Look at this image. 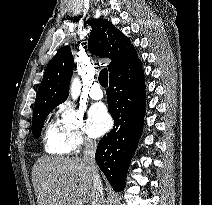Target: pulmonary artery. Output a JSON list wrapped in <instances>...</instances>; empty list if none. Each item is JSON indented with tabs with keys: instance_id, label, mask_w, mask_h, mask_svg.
Segmentation results:
<instances>
[{
	"instance_id": "1",
	"label": "pulmonary artery",
	"mask_w": 212,
	"mask_h": 205,
	"mask_svg": "<svg viewBox=\"0 0 212 205\" xmlns=\"http://www.w3.org/2000/svg\"><path fill=\"white\" fill-rule=\"evenodd\" d=\"M90 97L95 100H99L103 98V91L98 82H94L89 91Z\"/></svg>"
}]
</instances>
